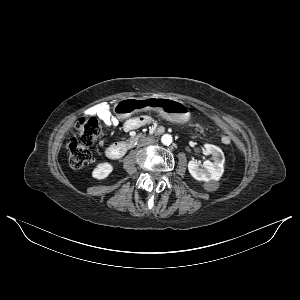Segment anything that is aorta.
<instances>
[{
    "mask_svg": "<svg viewBox=\"0 0 300 300\" xmlns=\"http://www.w3.org/2000/svg\"><path fill=\"white\" fill-rule=\"evenodd\" d=\"M161 142L162 144L169 146L172 143V136L170 134L162 135Z\"/></svg>",
    "mask_w": 300,
    "mask_h": 300,
    "instance_id": "1",
    "label": "aorta"
}]
</instances>
